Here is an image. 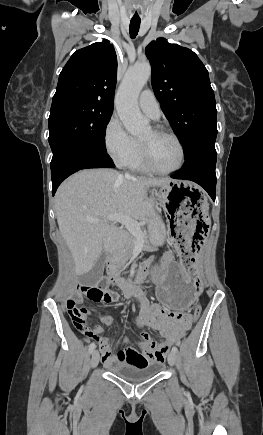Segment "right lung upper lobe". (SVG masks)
<instances>
[{"mask_svg":"<svg viewBox=\"0 0 263 435\" xmlns=\"http://www.w3.org/2000/svg\"><path fill=\"white\" fill-rule=\"evenodd\" d=\"M117 57L108 40L74 52L60 73L52 106L98 102L114 106Z\"/></svg>","mask_w":263,"mask_h":435,"instance_id":"cb5924a9","label":"right lung upper lobe"}]
</instances>
